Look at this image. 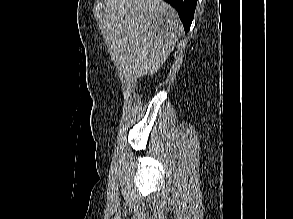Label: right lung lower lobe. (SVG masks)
Here are the masks:
<instances>
[{"label":"right lung lower lobe","instance_id":"obj_1","mask_svg":"<svg viewBox=\"0 0 293 219\" xmlns=\"http://www.w3.org/2000/svg\"><path fill=\"white\" fill-rule=\"evenodd\" d=\"M171 4L178 12L179 17L184 25L185 33L190 29L192 23L197 0H165Z\"/></svg>","mask_w":293,"mask_h":219}]
</instances>
